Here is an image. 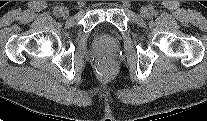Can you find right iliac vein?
Segmentation results:
<instances>
[{
  "instance_id": "1",
  "label": "right iliac vein",
  "mask_w": 207,
  "mask_h": 121,
  "mask_svg": "<svg viewBox=\"0 0 207 121\" xmlns=\"http://www.w3.org/2000/svg\"><path fill=\"white\" fill-rule=\"evenodd\" d=\"M68 15H69V11L66 8L60 9V16L61 17L66 18V17H68Z\"/></svg>"
}]
</instances>
